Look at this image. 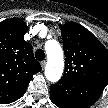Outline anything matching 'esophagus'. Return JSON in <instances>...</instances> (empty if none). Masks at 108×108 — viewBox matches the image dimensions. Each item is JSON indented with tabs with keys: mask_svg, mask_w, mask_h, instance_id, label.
<instances>
[{
	"mask_svg": "<svg viewBox=\"0 0 108 108\" xmlns=\"http://www.w3.org/2000/svg\"><path fill=\"white\" fill-rule=\"evenodd\" d=\"M46 66V60L41 62V67L44 68Z\"/></svg>",
	"mask_w": 108,
	"mask_h": 108,
	"instance_id": "34e87169",
	"label": "esophagus"
}]
</instances>
